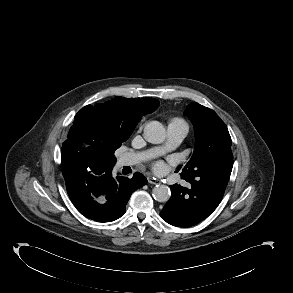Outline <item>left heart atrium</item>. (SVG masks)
I'll return each mask as SVG.
<instances>
[{"instance_id": "39dd6f15", "label": "left heart atrium", "mask_w": 293, "mask_h": 293, "mask_svg": "<svg viewBox=\"0 0 293 293\" xmlns=\"http://www.w3.org/2000/svg\"><path fill=\"white\" fill-rule=\"evenodd\" d=\"M153 167H154V169H155L156 171H161L162 168H163V164H162L161 162H157V163L154 164Z\"/></svg>"}]
</instances>
